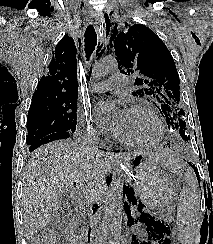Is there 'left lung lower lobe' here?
I'll list each match as a JSON object with an SVG mask.
<instances>
[{"label":"left lung lower lobe","mask_w":213,"mask_h":244,"mask_svg":"<svg viewBox=\"0 0 213 244\" xmlns=\"http://www.w3.org/2000/svg\"><path fill=\"white\" fill-rule=\"evenodd\" d=\"M190 165H191V167L192 168H194V171H195V173H196V175H197V178H198V181H199V177H198V173H197V171H196V168H195V166H193L191 163H189ZM200 182V181H199ZM125 189V188H124ZM125 196V190H123V197ZM124 206H125V203H124Z\"/></svg>","instance_id":"1"}]
</instances>
